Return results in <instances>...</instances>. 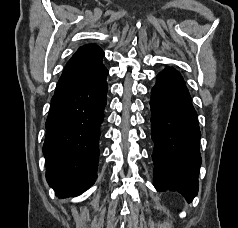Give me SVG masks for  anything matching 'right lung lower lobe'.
<instances>
[{"mask_svg":"<svg viewBox=\"0 0 238 228\" xmlns=\"http://www.w3.org/2000/svg\"><path fill=\"white\" fill-rule=\"evenodd\" d=\"M108 70L96 80L56 89L46 121V178L60 198L79 195L96 180Z\"/></svg>","mask_w":238,"mask_h":228,"instance_id":"right-lung-lower-lobe-1","label":"right lung lower lobe"}]
</instances>
